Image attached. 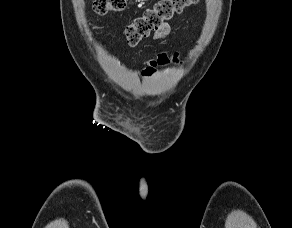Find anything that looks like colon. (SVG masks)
<instances>
[{
	"instance_id": "5ec220e1",
	"label": "colon",
	"mask_w": 292,
	"mask_h": 228,
	"mask_svg": "<svg viewBox=\"0 0 292 228\" xmlns=\"http://www.w3.org/2000/svg\"><path fill=\"white\" fill-rule=\"evenodd\" d=\"M197 0H160L144 14L136 18L124 29V36L130 45H136L142 39L156 32L161 26L171 19L175 14L181 13L185 8L194 4ZM126 0H94L93 9L98 14H105L109 11L119 12L124 10ZM170 62H178L177 55L170 56L160 53L151 59L144 74L150 75L157 65H165Z\"/></svg>"
}]
</instances>
